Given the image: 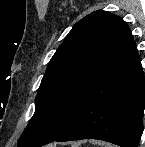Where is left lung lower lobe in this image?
Wrapping results in <instances>:
<instances>
[{"label": "left lung lower lobe", "instance_id": "0a47b994", "mask_svg": "<svg viewBox=\"0 0 145 147\" xmlns=\"http://www.w3.org/2000/svg\"><path fill=\"white\" fill-rule=\"evenodd\" d=\"M144 108L142 66L133 36L124 24L74 120L52 141L99 139L138 147Z\"/></svg>", "mask_w": 145, "mask_h": 147}]
</instances>
